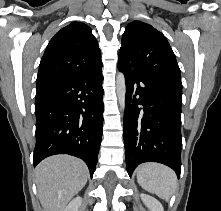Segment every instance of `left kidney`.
<instances>
[{
    "label": "left kidney",
    "instance_id": "1",
    "mask_svg": "<svg viewBox=\"0 0 221 211\" xmlns=\"http://www.w3.org/2000/svg\"><path fill=\"white\" fill-rule=\"evenodd\" d=\"M141 199L150 211H164L162 204L157 199L146 194H141Z\"/></svg>",
    "mask_w": 221,
    "mask_h": 211
}]
</instances>
